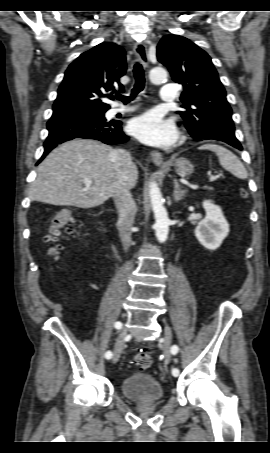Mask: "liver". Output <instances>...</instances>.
Returning a JSON list of instances; mask_svg holds the SVG:
<instances>
[{
    "label": "liver",
    "mask_w": 270,
    "mask_h": 453,
    "mask_svg": "<svg viewBox=\"0 0 270 453\" xmlns=\"http://www.w3.org/2000/svg\"><path fill=\"white\" fill-rule=\"evenodd\" d=\"M101 142L74 139L55 148L38 166L30 188V199L55 206L93 208L114 197L120 172L111 153ZM127 187L133 188L138 171L133 163L127 170ZM84 178L92 180L87 186Z\"/></svg>",
    "instance_id": "obj_1"
}]
</instances>
